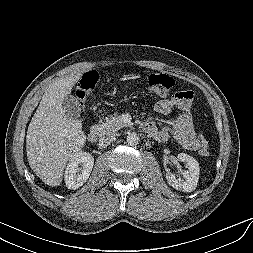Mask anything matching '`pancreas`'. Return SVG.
I'll return each mask as SVG.
<instances>
[{
	"instance_id": "pancreas-1",
	"label": "pancreas",
	"mask_w": 253,
	"mask_h": 253,
	"mask_svg": "<svg viewBox=\"0 0 253 253\" xmlns=\"http://www.w3.org/2000/svg\"><path fill=\"white\" fill-rule=\"evenodd\" d=\"M127 126L123 122L120 115L115 114L109 118H106V121L99 125V131L101 134L106 135L118 131L119 129Z\"/></svg>"
}]
</instances>
